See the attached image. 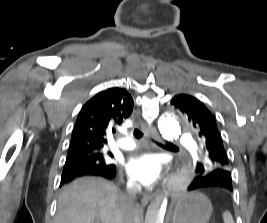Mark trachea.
<instances>
[{"label": "trachea", "instance_id": "trachea-1", "mask_svg": "<svg viewBox=\"0 0 267 223\" xmlns=\"http://www.w3.org/2000/svg\"><path fill=\"white\" fill-rule=\"evenodd\" d=\"M133 134H134V137L137 138V139H139V138H141L143 136V133L139 129H137V128L134 130V133ZM158 144L161 145L160 143H158ZM163 146L175 147L173 144L168 143V142H166V144L163 145Z\"/></svg>", "mask_w": 267, "mask_h": 223}]
</instances>
